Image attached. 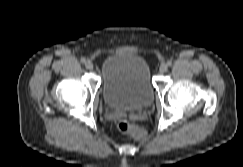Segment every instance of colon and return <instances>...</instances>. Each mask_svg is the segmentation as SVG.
Returning <instances> with one entry per match:
<instances>
[{
    "instance_id": "colon-1",
    "label": "colon",
    "mask_w": 243,
    "mask_h": 167,
    "mask_svg": "<svg viewBox=\"0 0 243 167\" xmlns=\"http://www.w3.org/2000/svg\"><path fill=\"white\" fill-rule=\"evenodd\" d=\"M117 128L119 131L135 138H143L145 135V131L141 127L134 125L128 120H120L117 123Z\"/></svg>"
}]
</instances>
